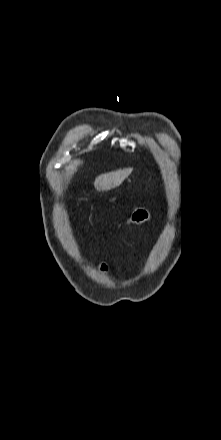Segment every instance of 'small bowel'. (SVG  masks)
<instances>
[{
	"instance_id": "1",
	"label": "small bowel",
	"mask_w": 221,
	"mask_h": 440,
	"mask_svg": "<svg viewBox=\"0 0 221 440\" xmlns=\"http://www.w3.org/2000/svg\"><path fill=\"white\" fill-rule=\"evenodd\" d=\"M99 270H100V272L102 273V275H103L104 277L109 278V276H110V270H109V268H108V266H107L106 264L101 263V264L99 265Z\"/></svg>"
}]
</instances>
